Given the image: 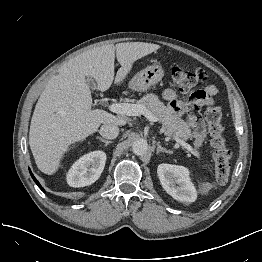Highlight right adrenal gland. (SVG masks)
Listing matches in <instances>:
<instances>
[{
    "label": "right adrenal gland",
    "mask_w": 262,
    "mask_h": 262,
    "mask_svg": "<svg viewBox=\"0 0 262 262\" xmlns=\"http://www.w3.org/2000/svg\"><path fill=\"white\" fill-rule=\"evenodd\" d=\"M97 139H99L101 142H103L105 144V146H107L110 143H112V141H107V140L103 139L102 137H97Z\"/></svg>",
    "instance_id": "2a0ac1e0"
}]
</instances>
